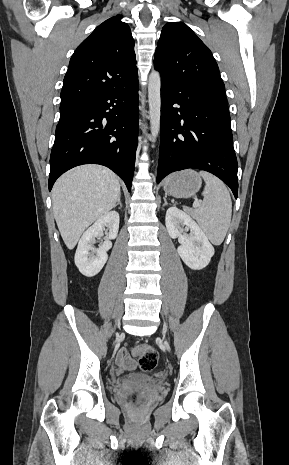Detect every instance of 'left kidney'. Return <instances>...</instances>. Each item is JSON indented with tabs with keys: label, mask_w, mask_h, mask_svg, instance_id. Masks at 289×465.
I'll use <instances>...</instances> for the list:
<instances>
[{
	"label": "left kidney",
	"mask_w": 289,
	"mask_h": 465,
	"mask_svg": "<svg viewBox=\"0 0 289 465\" xmlns=\"http://www.w3.org/2000/svg\"><path fill=\"white\" fill-rule=\"evenodd\" d=\"M165 224L171 238H178L177 252L183 262L193 270L205 268L214 255V248L200 226L187 213L177 207L166 212ZM190 230L189 234L185 231Z\"/></svg>",
	"instance_id": "left-kidney-1"
}]
</instances>
